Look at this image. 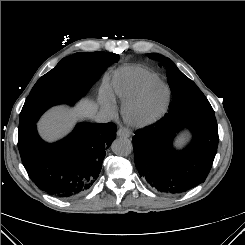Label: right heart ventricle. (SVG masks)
<instances>
[{
    "instance_id": "1",
    "label": "right heart ventricle",
    "mask_w": 245,
    "mask_h": 245,
    "mask_svg": "<svg viewBox=\"0 0 245 245\" xmlns=\"http://www.w3.org/2000/svg\"><path fill=\"white\" fill-rule=\"evenodd\" d=\"M157 78L156 73L142 66L121 67L115 71L112 78V95L125 103L135 96L146 82Z\"/></svg>"
}]
</instances>
